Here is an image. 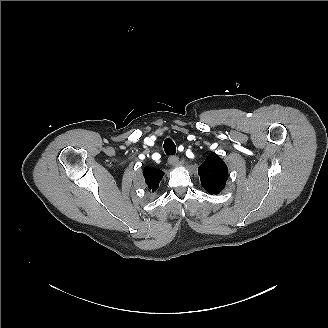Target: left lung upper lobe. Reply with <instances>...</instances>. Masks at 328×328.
Returning <instances> with one entry per match:
<instances>
[{"mask_svg":"<svg viewBox=\"0 0 328 328\" xmlns=\"http://www.w3.org/2000/svg\"><path fill=\"white\" fill-rule=\"evenodd\" d=\"M201 184L210 194L220 193L226 184L228 168L216 154H210L198 168Z\"/></svg>","mask_w":328,"mask_h":328,"instance_id":"5c2ea615","label":"left lung upper lobe"}]
</instances>
